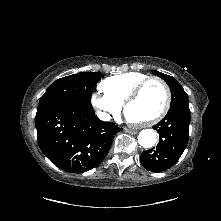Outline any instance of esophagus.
<instances>
[{
  "label": "esophagus",
  "mask_w": 221,
  "mask_h": 221,
  "mask_svg": "<svg viewBox=\"0 0 221 221\" xmlns=\"http://www.w3.org/2000/svg\"><path fill=\"white\" fill-rule=\"evenodd\" d=\"M125 131H126L127 133H130V134H136V133H137V131H136V130H133V129H127V128H125Z\"/></svg>",
  "instance_id": "34e87169"
}]
</instances>
